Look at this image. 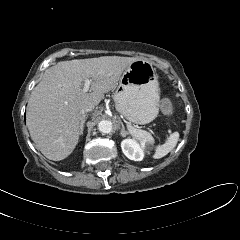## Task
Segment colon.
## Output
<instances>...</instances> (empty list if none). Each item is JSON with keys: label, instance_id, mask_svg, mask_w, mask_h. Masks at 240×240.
<instances>
[{"label": "colon", "instance_id": "5ec220e1", "mask_svg": "<svg viewBox=\"0 0 240 240\" xmlns=\"http://www.w3.org/2000/svg\"><path fill=\"white\" fill-rule=\"evenodd\" d=\"M162 111L166 114H169L172 112V104L171 101L168 98H164L161 103Z\"/></svg>", "mask_w": 240, "mask_h": 240}]
</instances>
